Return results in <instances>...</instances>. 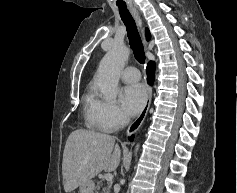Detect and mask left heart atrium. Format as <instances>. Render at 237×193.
I'll return each mask as SVG.
<instances>
[{
    "instance_id": "obj_1",
    "label": "left heart atrium",
    "mask_w": 237,
    "mask_h": 193,
    "mask_svg": "<svg viewBox=\"0 0 237 193\" xmlns=\"http://www.w3.org/2000/svg\"><path fill=\"white\" fill-rule=\"evenodd\" d=\"M147 91L141 84L126 86L121 92V102L128 115H136L144 107Z\"/></svg>"
}]
</instances>
